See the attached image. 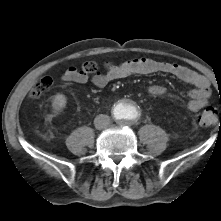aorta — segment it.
<instances>
[{"instance_id":"obj_1","label":"aorta","mask_w":221,"mask_h":221,"mask_svg":"<svg viewBox=\"0 0 221 221\" xmlns=\"http://www.w3.org/2000/svg\"><path fill=\"white\" fill-rule=\"evenodd\" d=\"M140 113L136 103L130 100H121L115 104L112 114L114 119L122 124L135 121Z\"/></svg>"}]
</instances>
